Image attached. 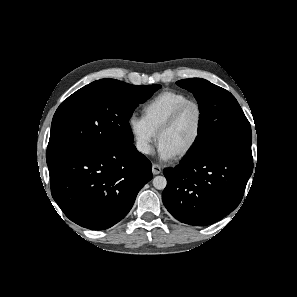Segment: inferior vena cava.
Wrapping results in <instances>:
<instances>
[{
	"mask_svg": "<svg viewBox=\"0 0 297 297\" xmlns=\"http://www.w3.org/2000/svg\"><path fill=\"white\" fill-rule=\"evenodd\" d=\"M136 147H137L138 151H140L142 153L149 154L151 152V146L146 141H138L136 143Z\"/></svg>",
	"mask_w": 297,
	"mask_h": 297,
	"instance_id": "1",
	"label": "inferior vena cava"
}]
</instances>
